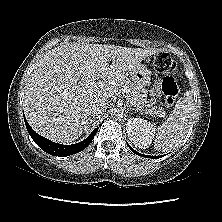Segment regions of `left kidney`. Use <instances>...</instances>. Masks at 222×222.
<instances>
[{"mask_svg": "<svg viewBox=\"0 0 222 222\" xmlns=\"http://www.w3.org/2000/svg\"><path fill=\"white\" fill-rule=\"evenodd\" d=\"M126 130L130 141L136 147L145 149L152 143L156 126L141 118H130L127 121Z\"/></svg>", "mask_w": 222, "mask_h": 222, "instance_id": "obj_1", "label": "left kidney"}]
</instances>
